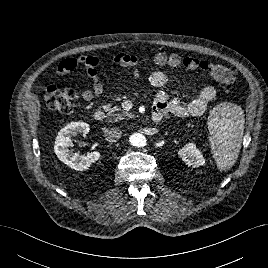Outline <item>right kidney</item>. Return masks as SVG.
Returning <instances> with one entry per match:
<instances>
[{"mask_svg": "<svg viewBox=\"0 0 268 268\" xmlns=\"http://www.w3.org/2000/svg\"><path fill=\"white\" fill-rule=\"evenodd\" d=\"M90 130L87 123L84 122H72L63 127L56 139L54 145V151L60 161L68 165L76 171H83L90 167L91 164L96 162L100 158V153L97 151L88 153L86 156L79 153H72L69 150L71 144V137L76 134L86 135Z\"/></svg>", "mask_w": 268, "mask_h": 268, "instance_id": "right-kidney-1", "label": "right kidney"}]
</instances>
